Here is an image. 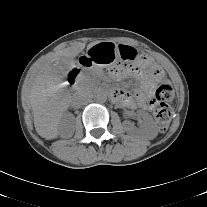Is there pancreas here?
Instances as JSON below:
<instances>
[{
  "instance_id": "pancreas-1",
  "label": "pancreas",
  "mask_w": 207,
  "mask_h": 207,
  "mask_svg": "<svg viewBox=\"0 0 207 207\" xmlns=\"http://www.w3.org/2000/svg\"><path fill=\"white\" fill-rule=\"evenodd\" d=\"M101 77V74H97L93 71L91 72H84L82 75H81V85L84 87V88H87V89H93L96 84L98 83V80L99 78Z\"/></svg>"
}]
</instances>
